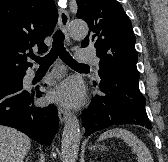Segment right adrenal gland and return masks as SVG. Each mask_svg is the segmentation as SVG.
<instances>
[{
    "mask_svg": "<svg viewBox=\"0 0 168 162\" xmlns=\"http://www.w3.org/2000/svg\"><path fill=\"white\" fill-rule=\"evenodd\" d=\"M28 161H29V157H26L25 162H28Z\"/></svg>",
    "mask_w": 168,
    "mask_h": 162,
    "instance_id": "1",
    "label": "right adrenal gland"
}]
</instances>
